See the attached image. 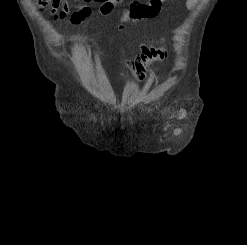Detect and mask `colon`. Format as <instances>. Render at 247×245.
I'll return each mask as SVG.
<instances>
[{"mask_svg": "<svg viewBox=\"0 0 247 245\" xmlns=\"http://www.w3.org/2000/svg\"><path fill=\"white\" fill-rule=\"evenodd\" d=\"M100 4L98 13L107 15L118 5L121 0H93ZM51 0H36L39 7L44 8L49 5ZM167 48L164 41L156 46L153 41L141 46V53L137 58H129L127 66L133 75L140 81L144 80L152 67L163 62L167 58Z\"/></svg>", "mask_w": 247, "mask_h": 245, "instance_id": "obj_1", "label": "colon"}]
</instances>
